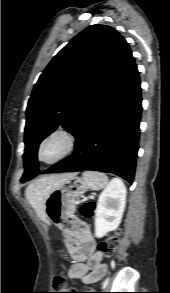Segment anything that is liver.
I'll return each mask as SVG.
<instances>
[{"instance_id":"6515ba94","label":"liver","mask_w":170,"mask_h":293,"mask_svg":"<svg viewBox=\"0 0 170 293\" xmlns=\"http://www.w3.org/2000/svg\"><path fill=\"white\" fill-rule=\"evenodd\" d=\"M71 175L72 174L69 173L44 176L29 184L26 188L25 197L43 222L48 223L45 202L49 193L55 186Z\"/></svg>"}]
</instances>
